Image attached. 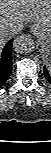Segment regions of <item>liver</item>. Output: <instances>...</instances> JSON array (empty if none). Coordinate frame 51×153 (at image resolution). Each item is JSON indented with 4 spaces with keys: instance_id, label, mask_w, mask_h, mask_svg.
<instances>
[{
    "instance_id": "obj_1",
    "label": "liver",
    "mask_w": 51,
    "mask_h": 153,
    "mask_svg": "<svg viewBox=\"0 0 51 153\" xmlns=\"http://www.w3.org/2000/svg\"><path fill=\"white\" fill-rule=\"evenodd\" d=\"M34 22L51 24V0H0V46L19 25Z\"/></svg>"
}]
</instances>
